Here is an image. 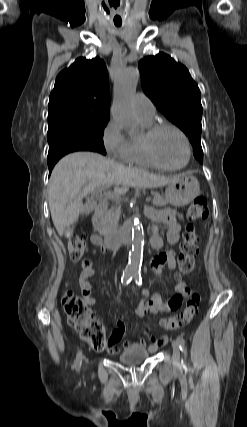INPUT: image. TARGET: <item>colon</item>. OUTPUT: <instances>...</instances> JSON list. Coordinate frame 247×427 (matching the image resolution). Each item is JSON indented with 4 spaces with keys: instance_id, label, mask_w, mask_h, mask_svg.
<instances>
[{
    "instance_id": "obj_1",
    "label": "colon",
    "mask_w": 247,
    "mask_h": 427,
    "mask_svg": "<svg viewBox=\"0 0 247 427\" xmlns=\"http://www.w3.org/2000/svg\"><path fill=\"white\" fill-rule=\"evenodd\" d=\"M208 203L205 197H197L189 206L187 216L190 220H205L208 218ZM198 235L193 224L188 225L180 245L178 256L180 274H189L194 270V257L198 253ZM86 240L79 235H74L68 240V251L73 261L80 260L87 252ZM200 296L193 294L186 302L185 307L172 317L162 320V326L166 330H177L188 325L198 313ZM62 306L67 321L75 329L80 337L85 340L92 349L102 351L108 347L105 331L102 324L93 318L84 297L67 291L62 297Z\"/></svg>"
}]
</instances>
